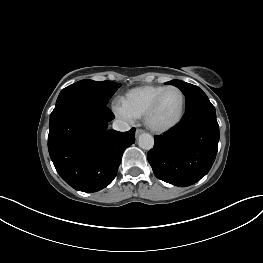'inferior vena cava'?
I'll use <instances>...</instances> for the list:
<instances>
[{
  "mask_svg": "<svg viewBox=\"0 0 263 263\" xmlns=\"http://www.w3.org/2000/svg\"><path fill=\"white\" fill-rule=\"evenodd\" d=\"M113 129L116 131L125 132L130 130V125L123 120L117 119L113 122Z\"/></svg>",
  "mask_w": 263,
  "mask_h": 263,
  "instance_id": "1",
  "label": "inferior vena cava"
}]
</instances>
